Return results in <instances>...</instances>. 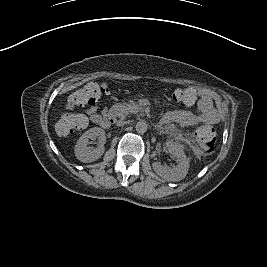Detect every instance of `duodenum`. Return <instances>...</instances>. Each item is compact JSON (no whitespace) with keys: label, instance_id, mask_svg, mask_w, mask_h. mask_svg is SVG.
Here are the masks:
<instances>
[{"label":"duodenum","instance_id":"410a0bca","mask_svg":"<svg viewBox=\"0 0 267 267\" xmlns=\"http://www.w3.org/2000/svg\"><path fill=\"white\" fill-rule=\"evenodd\" d=\"M122 114V108L116 107L108 115L103 118V123L106 128L110 127L115 123L116 119L119 118Z\"/></svg>","mask_w":267,"mask_h":267}]
</instances>
